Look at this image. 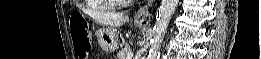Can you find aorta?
Returning <instances> with one entry per match:
<instances>
[{
    "mask_svg": "<svg viewBox=\"0 0 261 59\" xmlns=\"http://www.w3.org/2000/svg\"><path fill=\"white\" fill-rule=\"evenodd\" d=\"M179 0H161L153 27L154 37L151 39V48L148 59H159L160 46L163 42L169 22L176 10Z\"/></svg>",
    "mask_w": 261,
    "mask_h": 59,
    "instance_id": "aorta-1",
    "label": "aorta"
}]
</instances>
